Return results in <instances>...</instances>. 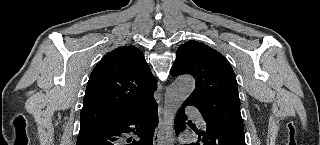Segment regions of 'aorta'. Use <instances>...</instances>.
Returning a JSON list of instances; mask_svg holds the SVG:
<instances>
[{"label":"aorta","instance_id":"762f6f07","mask_svg":"<svg viewBox=\"0 0 320 145\" xmlns=\"http://www.w3.org/2000/svg\"><path fill=\"white\" fill-rule=\"evenodd\" d=\"M195 88V80L190 76L178 77L169 87L164 101V123L169 138L173 135V124L177 110Z\"/></svg>","mask_w":320,"mask_h":145}]
</instances>
